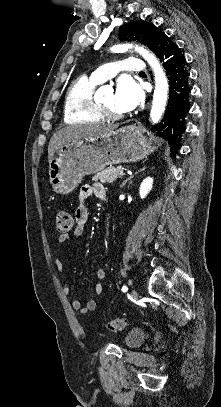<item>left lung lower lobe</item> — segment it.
I'll use <instances>...</instances> for the list:
<instances>
[{
	"mask_svg": "<svg viewBox=\"0 0 221 407\" xmlns=\"http://www.w3.org/2000/svg\"><path fill=\"white\" fill-rule=\"evenodd\" d=\"M157 56L163 62L170 88L164 118L153 130L156 129L159 136L169 141L175 156V151L181 147L179 137L185 130V116L190 110L189 73L180 48L165 34L160 41Z\"/></svg>",
	"mask_w": 221,
	"mask_h": 407,
	"instance_id": "obj_1",
	"label": "left lung lower lobe"
}]
</instances>
